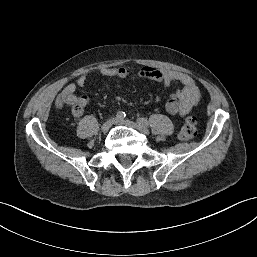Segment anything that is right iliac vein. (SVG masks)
I'll list each match as a JSON object with an SVG mask.
<instances>
[{"label":"right iliac vein","instance_id":"1","mask_svg":"<svg viewBox=\"0 0 257 257\" xmlns=\"http://www.w3.org/2000/svg\"><path fill=\"white\" fill-rule=\"evenodd\" d=\"M116 119L115 118H110L108 119L107 121H105L102 126H101V130L103 132H107L111 127L112 125L115 123Z\"/></svg>","mask_w":257,"mask_h":257}]
</instances>
